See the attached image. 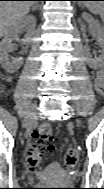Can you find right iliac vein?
<instances>
[{"label": "right iliac vein", "instance_id": "right-iliac-vein-1", "mask_svg": "<svg viewBox=\"0 0 104 189\" xmlns=\"http://www.w3.org/2000/svg\"><path fill=\"white\" fill-rule=\"evenodd\" d=\"M36 110L37 106L34 105L31 110L27 113L25 121H24V127L27 129H30L31 126L33 125L35 121V116H36Z\"/></svg>", "mask_w": 104, "mask_h": 189}]
</instances>
